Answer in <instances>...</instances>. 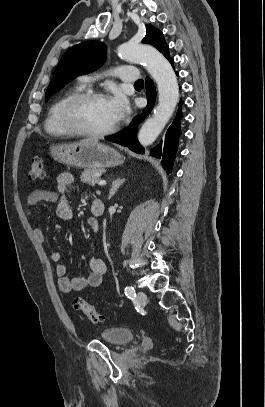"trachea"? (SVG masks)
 Returning a JSON list of instances; mask_svg holds the SVG:
<instances>
[{
	"instance_id": "1",
	"label": "trachea",
	"mask_w": 265,
	"mask_h": 407,
	"mask_svg": "<svg viewBox=\"0 0 265 407\" xmlns=\"http://www.w3.org/2000/svg\"><path fill=\"white\" fill-rule=\"evenodd\" d=\"M143 84H144L143 80L140 79V80H138L137 82H135L134 85H143Z\"/></svg>"
}]
</instances>
